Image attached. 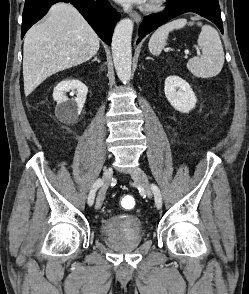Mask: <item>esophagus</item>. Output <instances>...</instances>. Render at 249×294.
<instances>
[{
	"label": "esophagus",
	"mask_w": 249,
	"mask_h": 294,
	"mask_svg": "<svg viewBox=\"0 0 249 294\" xmlns=\"http://www.w3.org/2000/svg\"><path fill=\"white\" fill-rule=\"evenodd\" d=\"M130 17L136 22L139 23L141 21V16L137 12H131Z\"/></svg>",
	"instance_id": "1"
}]
</instances>
